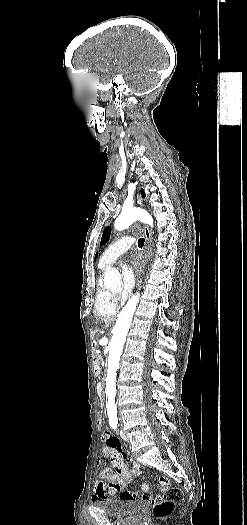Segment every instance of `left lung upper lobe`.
<instances>
[{
    "mask_svg": "<svg viewBox=\"0 0 247 525\" xmlns=\"http://www.w3.org/2000/svg\"><path fill=\"white\" fill-rule=\"evenodd\" d=\"M141 194H142L143 197H145L144 190H141ZM109 238H110V227H107V228H105V230L103 232L100 245H104L109 240ZM97 256H98V253L95 255V259H96Z\"/></svg>",
    "mask_w": 247,
    "mask_h": 525,
    "instance_id": "left-lung-upper-lobe-1",
    "label": "left lung upper lobe"
}]
</instances>
